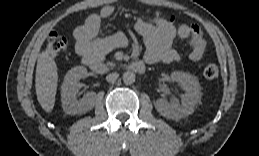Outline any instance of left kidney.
Returning a JSON list of instances; mask_svg holds the SVG:
<instances>
[{"instance_id":"obj_1","label":"left kidney","mask_w":259,"mask_h":156,"mask_svg":"<svg viewBox=\"0 0 259 156\" xmlns=\"http://www.w3.org/2000/svg\"><path fill=\"white\" fill-rule=\"evenodd\" d=\"M170 77L173 82L181 84L185 90V93L181 96V104L158 99L155 102V108L162 116L178 120L194 111L196 104L201 100V86L195 77L185 72L175 71L171 73Z\"/></svg>"}]
</instances>
